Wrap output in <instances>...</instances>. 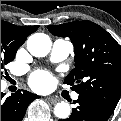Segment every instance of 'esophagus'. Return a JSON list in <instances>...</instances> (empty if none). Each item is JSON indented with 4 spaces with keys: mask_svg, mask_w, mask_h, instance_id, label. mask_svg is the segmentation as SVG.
Returning a JSON list of instances; mask_svg holds the SVG:
<instances>
[{
    "mask_svg": "<svg viewBox=\"0 0 121 121\" xmlns=\"http://www.w3.org/2000/svg\"><path fill=\"white\" fill-rule=\"evenodd\" d=\"M47 101L50 102V103L55 104L58 100L56 98H54V97H48Z\"/></svg>",
    "mask_w": 121,
    "mask_h": 121,
    "instance_id": "1",
    "label": "esophagus"
}]
</instances>
